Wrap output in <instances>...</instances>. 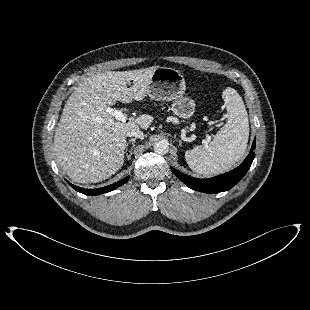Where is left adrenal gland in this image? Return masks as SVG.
Returning <instances> with one entry per match:
<instances>
[{
	"mask_svg": "<svg viewBox=\"0 0 310 310\" xmlns=\"http://www.w3.org/2000/svg\"><path fill=\"white\" fill-rule=\"evenodd\" d=\"M179 144L182 145V141L181 140H179Z\"/></svg>",
	"mask_w": 310,
	"mask_h": 310,
	"instance_id": "a2214340",
	"label": "left adrenal gland"
}]
</instances>
